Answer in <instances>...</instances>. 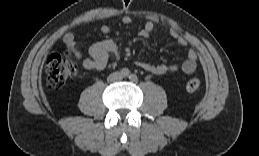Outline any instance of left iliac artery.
Returning <instances> with one entry per match:
<instances>
[{
    "mask_svg": "<svg viewBox=\"0 0 259 156\" xmlns=\"http://www.w3.org/2000/svg\"><path fill=\"white\" fill-rule=\"evenodd\" d=\"M129 79H130L132 82H137L138 77H137L135 74H131V75L129 76Z\"/></svg>",
    "mask_w": 259,
    "mask_h": 156,
    "instance_id": "1",
    "label": "left iliac artery"
}]
</instances>
